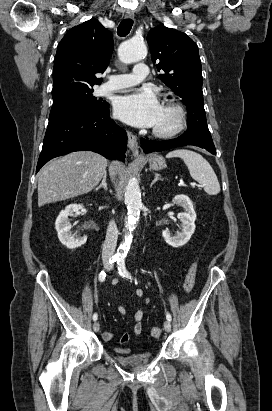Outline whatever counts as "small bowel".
<instances>
[{"label": "small bowel", "instance_id": "c3829d8e", "mask_svg": "<svg viewBox=\"0 0 272 411\" xmlns=\"http://www.w3.org/2000/svg\"><path fill=\"white\" fill-rule=\"evenodd\" d=\"M118 283V280H113V285H116ZM135 296L140 299L141 301H143L145 304L149 303V298H147L144 293L143 290L140 288L135 289L134 291ZM117 310L119 312V314H121L122 316H125L127 314L126 309L121 306L118 305L117 306ZM143 310L140 308L138 309L135 314H134V325H133V334L135 336H139L142 332V319H143ZM103 339L105 341H110L113 337V334L111 332H104L102 335ZM131 339V334L130 333H125L121 340L120 343L115 347V351L121 354H127L129 353L130 349L128 347H126V344L130 341Z\"/></svg>", "mask_w": 272, "mask_h": 411}]
</instances>
